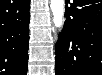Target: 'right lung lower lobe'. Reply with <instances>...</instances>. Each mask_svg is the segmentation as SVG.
<instances>
[{
    "mask_svg": "<svg viewBox=\"0 0 102 75\" xmlns=\"http://www.w3.org/2000/svg\"><path fill=\"white\" fill-rule=\"evenodd\" d=\"M30 0L0 1L1 75H26Z\"/></svg>",
    "mask_w": 102,
    "mask_h": 75,
    "instance_id": "98d812e1",
    "label": "right lung lower lobe"
}]
</instances>
